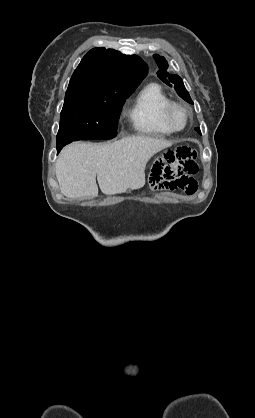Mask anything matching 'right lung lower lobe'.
<instances>
[{
  "label": "right lung lower lobe",
  "instance_id": "obj_1",
  "mask_svg": "<svg viewBox=\"0 0 255 418\" xmlns=\"http://www.w3.org/2000/svg\"><path fill=\"white\" fill-rule=\"evenodd\" d=\"M65 145L66 143L57 144V153H59Z\"/></svg>",
  "mask_w": 255,
  "mask_h": 418
}]
</instances>
